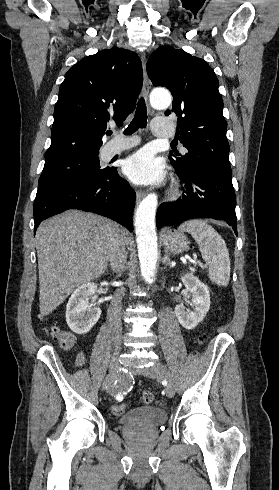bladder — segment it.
<instances>
[{
    "label": "bladder",
    "mask_w": 279,
    "mask_h": 490,
    "mask_svg": "<svg viewBox=\"0 0 279 490\" xmlns=\"http://www.w3.org/2000/svg\"><path fill=\"white\" fill-rule=\"evenodd\" d=\"M167 414L163 408L155 405H143L134 407L119 418L122 430L131 431L137 428H154L166 423Z\"/></svg>",
    "instance_id": "bladder-1"
}]
</instances>
